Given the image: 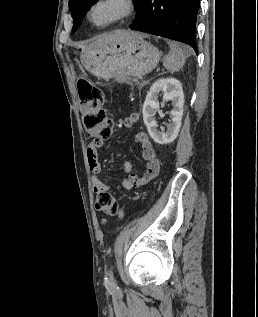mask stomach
<instances>
[{"instance_id": "1", "label": "stomach", "mask_w": 258, "mask_h": 317, "mask_svg": "<svg viewBox=\"0 0 258 317\" xmlns=\"http://www.w3.org/2000/svg\"><path fill=\"white\" fill-rule=\"evenodd\" d=\"M130 32L128 40L102 42L98 46L82 44L79 58L84 68L100 78H113L120 74L139 78L151 72L160 60V50L144 40L140 32Z\"/></svg>"}]
</instances>
